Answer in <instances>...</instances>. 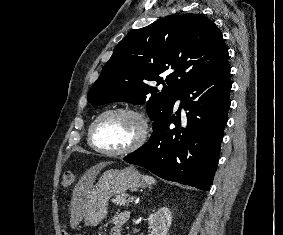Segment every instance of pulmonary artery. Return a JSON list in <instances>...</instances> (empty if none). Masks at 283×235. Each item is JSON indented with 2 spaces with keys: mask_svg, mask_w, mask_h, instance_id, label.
Returning <instances> with one entry per match:
<instances>
[{
  "mask_svg": "<svg viewBox=\"0 0 283 235\" xmlns=\"http://www.w3.org/2000/svg\"><path fill=\"white\" fill-rule=\"evenodd\" d=\"M180 103H181V100L179 99L178 102H177V104H180Z\"/></svg>",
  "mask_w": 283,
  "mask_h": 235,
  "instance_id": "1",
  "label": "pulmonary artery"
}]
</instances>
